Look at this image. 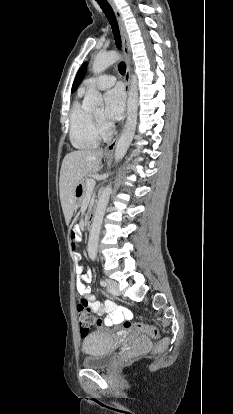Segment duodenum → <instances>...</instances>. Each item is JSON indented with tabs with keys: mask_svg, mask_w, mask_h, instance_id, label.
<instances>
[{
	"mask_svg": "<svg viewBox=\"0 0 233 414\" xmlns=\"http://www.w3.org/2000/svg\"><path fill=\"white\" fill-rule=\"evenodd\" d=\"M96 212L93 210L88 214L87 221H86V228L91 229L93 226V223L95 221Z\"/></svg>",
	"mask_w": 233,
	"mask_h": 414,
	"instance_id": "1",
	"label": "duodenum"
}]
</instances>
